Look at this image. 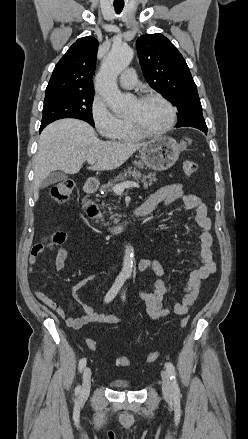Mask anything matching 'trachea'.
Here are the masks:
<instances>
[{"instance_id":"trachea-1","label":"trachea","mask_w":248,"mask_h":439,"mask_svg":"<svg viewBox=\"0 0 248 439\" xmlns=\"http://www.w3.org/2000/svg\"><path fill=\"white\" fill-rule=\"evenodd\" d=\"M123 7H124V4H122V5H114L115 12L117 14L121 13V11L123 10Z\"/></svg>"}]
</instances>
